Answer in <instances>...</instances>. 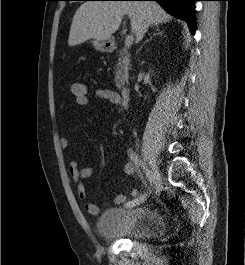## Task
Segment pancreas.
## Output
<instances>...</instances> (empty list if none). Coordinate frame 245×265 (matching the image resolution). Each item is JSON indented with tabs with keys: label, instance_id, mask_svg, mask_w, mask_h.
Wrapping results in <instances>:
<instances>
[{
	"label": "pancreas",
	"instance_id": "pancreas-1",
	"mask_svg": "<svg viewBox=\"0 0 245 265\" xmlns=\"http://www.w3.org/2000/svg\"><path fill=\"white\" fill-rule=\"evenodd\" d=\"M130 60L129 56L124 51H120L118 63L115 66V85L118 89L123 87L125 81L128 79Z\"/></svg>",
	"mask_w": 245,
	"mask_h": 265
}]
</instances>
